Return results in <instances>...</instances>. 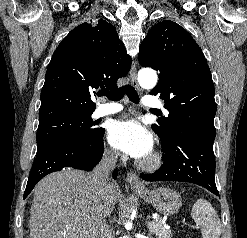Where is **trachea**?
<instances>
[{
    "instance_id": "3493384b",
    "label": "trachea",
    "mask_w": 247,
    "mask_h": 238,
    "mask_svg": "<svg viewBox=\"0 0 247 238\" xmlns=\"http://www.w3.org/2000/svg\"><path fill=\"white\" fill-rule=\"evenodd\" d=\"M125 94H127L130 101L135 104L139 103V96L136 90L131 85H125L114 91H102L100 96H106L111 101H119Z\"/></svg>"
}]
</instances>
